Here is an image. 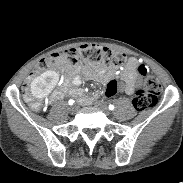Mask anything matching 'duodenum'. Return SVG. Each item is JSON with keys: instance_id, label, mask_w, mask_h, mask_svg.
Here are the masks:
<instances>
[{"instance_id": "410a0bca", "label": "duodenum", "mask_w": 183, "mask_h": 183, "mask_svg": "<svg viewBox=\"0 0 183 183\" xmlns=\"http://www.w3.org/2000/svg\"><path fill=\"white\" fill-rule=\"evenodd\" d=\"M75 94L79 96V102L84 105H89L90 103H93L94 100L99 99L98 93H92L91 96H88V93L86 91H81L80 89H77L75 91Z\"/></svg>"}]
</instances>
